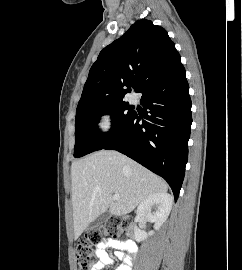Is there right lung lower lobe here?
<instances>
[{"label": "right lung lower lobe", "instance_id": "1", "mask_svg": "<svg viewBox=\"0 0 242 270\" xmlns=\"http://www.w3.org/2000/svg\"><path fill=\"white\" fill-rule=\"evenodd\" d=\"M141 93L145 114L134 112L101 149L121 152L163 177L176 201L188 160L192 123L189 86L181 61L156 77Z\"/></svg>", "mask_w": 242, "mask_h": 270}]
</instances>
